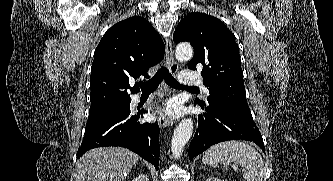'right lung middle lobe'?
<instances>
[{
  "label": "right lung middle lobe",
  "mask_w": 333,
  "mask_h": 181,
  "mask_svg": "<svg viewBox=\"0 0 333 181\" xmlns=\"http://www.w3.org/2000/svg\"><path fill=\"white\" fill-rule=\"evenodd\" d=\"M129 105H130V100H126V101L113 103V104H110V105H107L104 107H100L97 109L89 110V117H88L87 125L94 123V122L101 121L107 117H110L117 111L123 110L126 107H128Z\"/></svg>",
  "instance_id": "1"
}]
</instances>
